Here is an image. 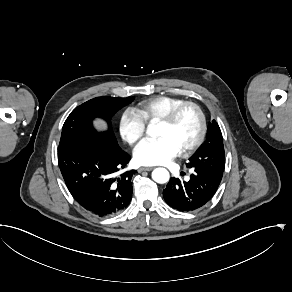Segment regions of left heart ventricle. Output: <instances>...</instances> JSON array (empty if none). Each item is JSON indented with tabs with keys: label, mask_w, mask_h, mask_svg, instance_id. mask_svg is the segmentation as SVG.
<instances>
[{
	"label": "left heart ventricle",
	"mask_w": 292,
	"mask_h": 292,
	"mask_svg": "<svg viewBox=\"0 0 292 292\" xmlns=\"http://www.w3.org/2000/svg\"><path fill=\"white\" fill-rule=\"evenodd\" d=\"M198 116L190 108H184L176 120L171 124H164L158 121L157 135L171 137L180 146V148L190 144L198 132Z\"/></svg>",
	"instance_id": "left-heart-ventricle-1"
}]
</instances>
